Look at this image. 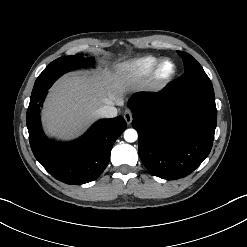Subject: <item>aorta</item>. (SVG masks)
Masks as SVG:
<instances>
[{
  "label": "aorta",
  "instance_id": "1",
  "mask_svg": "<svg viewBox=\"0 0 247 247\" xmlns=\"http://www.w3.org/2000/svg\"><path fill=\"white\" fill-rule=\"evenodd\" d=\"M138 138L137 131L135 129H127L124 132V139L127 142H135Z\"/></svg>",
  "mask_w": 247,
  "mask_h": 247
}]
</instances>
